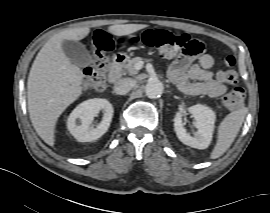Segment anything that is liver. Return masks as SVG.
Segmentation results:
<instances>
[{"label":"liver","mask_w":270,"mask_h":213,"mask_svg":"<svg viewBox=\"0 0 270 213\" xmlns=\"http://www.w3.org/2000/svg\"><path fill=\"white\" fill-rule=\"evenodd\" d=\"M148 27L145 24L112 25L109 32L125 36ZM88 27L67 29L53 35L36 56L27 82L28 111L34 129L49 146L55 144V125L66 108L82 94V71L62 50L64 40L79 41Z\"/></svg>","instance_id":"liver-1"}]
</instances>
